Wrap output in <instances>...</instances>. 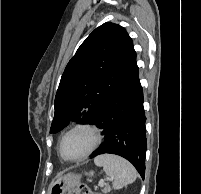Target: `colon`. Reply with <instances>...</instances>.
Segmentation results:
<instances>
[{
    "label": "colon",
    "instance_id": "5ec220e1",
    "mask_svg": "<svg viewBox=\"0 0 201 194\" xmlns=\"http://www.w3.org/2000/svg\"><path fill=\"white\" fill-rule=\"evenodd\" d=\"M67 194H99V193L92 191L85 184H80L77 187L69 190Z\"/></svg>",
    "mask_w": 201,
    "mask_h": 194
}]
</instances>
